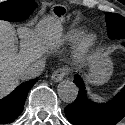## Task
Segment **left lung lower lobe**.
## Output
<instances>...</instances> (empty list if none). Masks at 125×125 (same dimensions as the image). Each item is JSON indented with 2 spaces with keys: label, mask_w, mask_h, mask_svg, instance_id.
<instances>
[{
  "label": "left lung lower lobe",
  "mask_w": 125,
  "mask_h": 125,
  "mask_svg": "<svg viewBox=\"0 0 125 125\" xmlns=\"http://www.w3.org/2000/svg\"><path fill=\"white\" fill-rule=\"evenodd\" d=\"M73 82L79 87L78 97L64 109L73 125H115L125 117V86L111 101L97 104L87 97L80 75Z\"/></svg>",
  "instance_id": "left-lung-lower-lobe-1"
}]
</instances>
